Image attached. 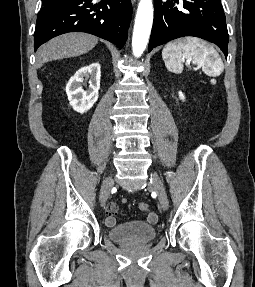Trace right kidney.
<instances>
[{
	"label": "right kidney",
	"mask_w": 255,
	"mask_h": 287,
	"mask_svg": "<svg viewBox=\"0 0 255 287\" xmlns=\"http://www.w3.org/2000/svg\"><path fill=\"white\" fill-rule=\"evenodd\" d=\"M100 64L93 62L90 66H83L77 70L76 74L70 78L66 86V94L70 102V106L84 114L92 108L93 104L98 100V90L100 88ZM89 80V88L83 90V80Z\"/></svg>",
	"instance_id": "1"
}]
</instances>
